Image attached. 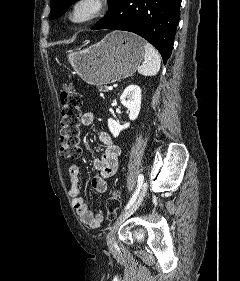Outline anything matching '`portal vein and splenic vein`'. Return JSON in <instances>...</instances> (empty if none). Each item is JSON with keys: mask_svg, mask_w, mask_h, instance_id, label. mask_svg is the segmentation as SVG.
<instances>
[{"mask_svg": "<svg viewBox=\"0 0 240 281\" xmlns=\"http://www.w3.org/2000/svg\"><path fill=\"white\" fill-rule=\"evenodd\" d=\"M107 89H108V90H113V87H112V86H109Z\"/></svg>", "mask_w": 240, "mask_h": 281, "instance_id": "18ae733b", "label": "portal vein and splenic vein"}]
</instances>
